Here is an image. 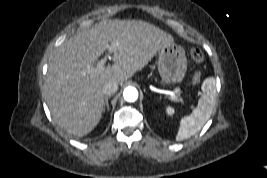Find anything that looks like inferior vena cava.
<instances>
[{"label":"inferior vena cava","instance_id":"1","mask_svg":"<svg viewBox=\"0 0 267 178\" xmlns=\"http://www.w3.org/2000/svg\"><path fill=\"white\" fill-rule=\"evenodd\" d=\"M117 89H118V84L114 81H109L104 84L102 91L104 95L111 96L115 94Z\"/></svg>","mask_w":267,"mask_h":178}]
</instances>
